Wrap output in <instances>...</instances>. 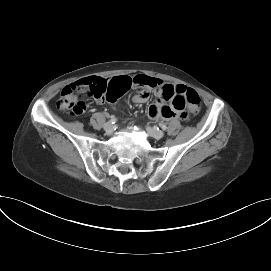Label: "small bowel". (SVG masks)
Returning a JSON list of instances; mask_svg holds the SVG:
<instances>
[{
  "label": "small bowel",
  "mask_w": 271,
  "mask_h": 271,
  "mask_svg": "<svg viewBox=\"0 0 271 271\" xmlns=\"http://www.w3.org/2000/svg\"><path fill=\"white\" fill-rule=\"evenodd\" d=\"M82 82L84 83L83 92L92 95L100 103L104 102V100L108 103H117L122 99L123 94L131 93L139 86L141 90L132 98L134 103L147 102L152 92L158 97V101L148 107L147 113L149 117L166 120L174 118L186 119L187 117L184 107H177L174 104V96L177 91L187 89L184 85H173L148 75L135 76L132 73H125L107 79L89 77ZM166 91L171 92L172 95L166 97Z\"/></svg>",
  "instance_id": "obj_1"
}]
</instances>
